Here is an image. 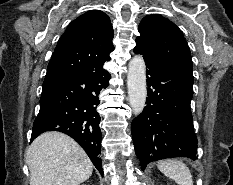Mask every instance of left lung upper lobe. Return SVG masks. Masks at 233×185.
Wrapping results in <instances>:
<instances>
[{
    "label": "left lung upper lobe",
    "mask_w": 233,
    "mask_h": 185,
    "mask_svg": "<svg viewBox=\"0 0 233 185\" xmlns=\"http://www.w3.org/2000/svg\"><path fill=\"white\" fill-rule=\"evenodd\" d=\"M140 36L135 49L158 63L193 70L191 53L181 30L161 15L144 17L139 24Z\"/></svg>",
    "instance_id": "5c2ea615"
}]
</instances>
